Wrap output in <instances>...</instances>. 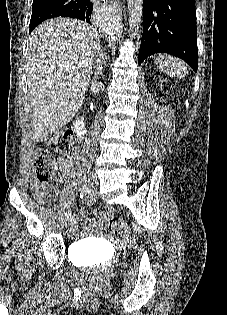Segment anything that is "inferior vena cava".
Returning <instances> with one entry per match:
<instances>
[{"label":"inferior vena cava","instance_id":"obj_1","mask_svg":"<svg viewBox=\"0 0 227 315\" xmlns=\"http://www.w3.org/2000/svg\"><path fill=\"white\" fill-rule=\"evenodd\" d=\"M94 69L96 71L95 72V76H97L100 73L101 69H102L100 62H97V64L95 65Z\"/></svg>","mask_w":227,"mask_h":315}]
</instances>
